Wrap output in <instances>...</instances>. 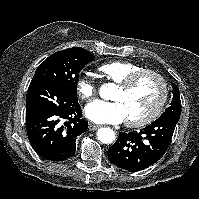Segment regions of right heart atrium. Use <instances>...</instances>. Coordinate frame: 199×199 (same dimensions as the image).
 <instances>
[{
  "label": "right heart atrium",
  "mask_w": 199,
  "mask_h": 199,
  "mask_svg": "<svg viewBox=\"0 0 199 199\" xmlns=\"http://www.w3.org/2000/svg\"><path fill=\"white\" fill-rule=\"evenodd\" d=\"M96 84L93 80L80 77L76 83V92L83 100H91L96 94Z\"/></svg>",
  "instance_id": "1"
}]
</instances>
